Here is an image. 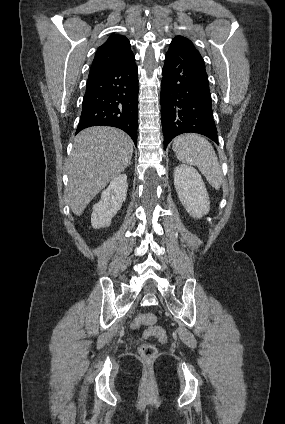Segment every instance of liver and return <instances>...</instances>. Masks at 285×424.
<instances>
[{
  "label": "liver",
  "instance_id": "obj_1",
  "mask_svg": "<svg viewBox=\"0 0 285 424\" xmlns=\"http://www.w3.org/2000/svg\"><path fill=\"white\" fill-rule=\"evenodd\" d=\"M134 143L122 130L96 126L75 138L67 173V196L80 216L90 201L130 164Z\"/></svg>",
  "mask_w": 285,
  "mask_h": 424
}]
</instances>
